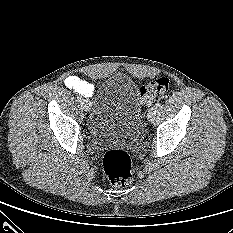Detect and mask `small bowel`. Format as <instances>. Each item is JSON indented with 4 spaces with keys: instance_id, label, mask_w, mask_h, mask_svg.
Instances as JSON below:
<instances>
[{
    "instance_id": "obj_1",
    "label": "small bowel",
    "mask_w": 233,
    "mask_h": 233,
    "mask_svg": "<svg viewBox=\"0 0 233 233\" xmlns=\"http://www.w3.org/2000/svg\"><path fill=\"white\" fill-rule=\"evenodd\" d=\"M64 84L67 88L85 97H92L95 93V86L77 75L67 76Z\"/></svg>"
}]
</instances>
